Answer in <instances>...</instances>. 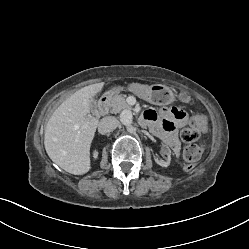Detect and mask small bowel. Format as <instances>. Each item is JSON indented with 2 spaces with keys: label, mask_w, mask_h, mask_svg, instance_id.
<instances>
[{
  "label": "small bowel",
  "mask_w": 249,
  "mask_h": 249,
  "mask_svg": "<svg viewBox=\"0 0 249 249\" xmlns=\"http://www.w3.org/2000/svg\"><path fill=\"white\" fill-rule=\"evenodd\" d=\"M143 118L175 153L179 152L180 144L176 138V130L188 123L187 114L182 109L177 107L162 108L159 113L149 109L144 112Z\"/></svg>",
  "instance_id": "c3829d8e"
}]
</instances>
